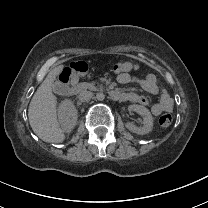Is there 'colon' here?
I'll list each match as a JSON object with an SVG mask.
<instances>
[{"label":"colon","mask_w":208,"mask_h":208,"mask_svg":"<svg viewBox=\"0 0 208 208\" xmlns=\"http://www.w3.org/2000/svg\"><path fill=\"white\" fill-rule=\"evenodd\" d=\"M72 68L75 74L82 75L87 71V63L83 60H77L72 63ZM138 67L134 59L132 58H120L112 66V71L117 75H124L137 71ZM173 122L172 115L164 113L159 118V125L161 127H169Z\"/></svg>","instance_id":"obj_1"}]
</instances>
